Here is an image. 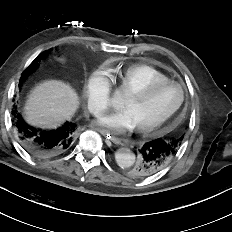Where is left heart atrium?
I'll use <instances>...</instances> for the list:
<instances>
[{
    "mask_svg": "<svg viewBox=\"0 0 232 232\" xmlns=\"http://www.w3.org/2000/svg\"><path fill=\"white\" fill-rule=\"evenodd\" d=\"M97 123L104 130L116 135L123 134L136 127V122L132 114L127 110L101 115L98 118Z\"/></svg>",
    "mask_w": 232,
    "mask_h": 232,
    "instance_id": "obj_1",
    "label": "left heart atrium"
}]
</instances>
